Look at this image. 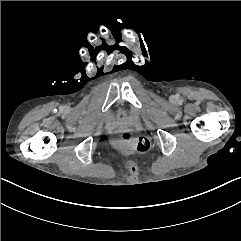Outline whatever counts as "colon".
Listing matches in <instances>:
<instances>
[{"label": "colon", "instance_id": "1", "mask_svg": "<svg viewBox=\"0 0 241 241\" xmlns=\"http://www.w3.org/2000/svg\"><path fill=\"white\" fill-rule=\"evenodd\" d=\"M119 144H122L125 152L140 155L149 152L151 148V141L148 138L134 133H124Z\"/></svg>", "mask_w": 241, "mask_h": 241}]
</instances>
